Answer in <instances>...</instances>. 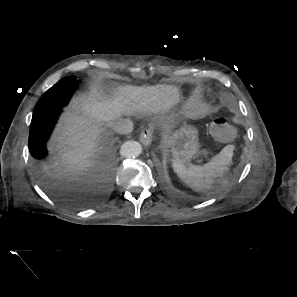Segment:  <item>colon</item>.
I'll return each instance as SVG.
<instances>
[{
	"instance_id": "5ec220e1",
	"label": "colon",
	"mask_w": 297,
	"mask_h": 297,
	"mask_svg": "<svg viewBox=\"0 0 297 297\" xmlns=\"http://www.w3.org/2000/svg\"><path fill=\"white\" fill-rule=\"evenodd\" d=\"M211 132L220 140L231 139L234 135L233 127L224 118H218L213 121Z\"/></svg>"
}]
</instances>
